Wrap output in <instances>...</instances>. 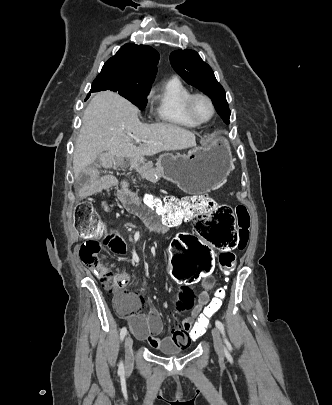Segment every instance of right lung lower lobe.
Segmentation results:
<instances>
[{
  "instance_id": "right-lung-lower-lobe-1",
  "label": "right lung lower lobe",
  "mask_w": 332,
  "mask_h": 405,
  "mask_svg": "<svg viewBox=\"0 0 332 405\" xmlns=\"http://www.w3.org/2000/svg\"><path fill=\"white\" fill-rule=\"evenodd\" d=\"M90 96V93L88 94L87 98Z\"/></svg>"
}]
</instances>
